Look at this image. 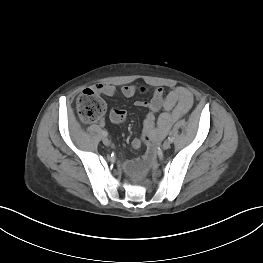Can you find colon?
I'll use <instances>...</instances> for the list:
<instances>
[{
	"label": "colon",
	"instance_id": "1",
	"mask_svg": "<svg viewBox=\"0 0 263 263\" xmlns=\"http://www.w3.org/2000/svg\"><path fill=\"white\" fill-rule=\"evenodd\" d=\"M76 107L79 117L84 122L99 120L106 111V105L99 93L93 89H85L77 98Z\"/></svg>",
	"mask_w": 263,
	"mask_h": 263
}]
</instances>
